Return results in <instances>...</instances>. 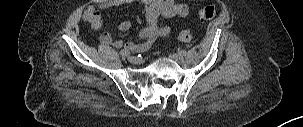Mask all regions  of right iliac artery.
<instances>
[{
    "label": "right iliac artery",
    "instance_id": "right-iliac-artery-1",
    "mask_svg": "<svg viewBox=\"0 0 303 127\" xmlns=\"http://www.w3.org/2000/svg\"><path fill=\"white\" fill-rule=\"evenodd\" d=\"M129 54H130V52L127 51V50H121V51H120V55L123 56V57H126V56H128Z\"/></svg>",
    "mask_w": 303,
    "mask_h": 127
}]
</instances>
